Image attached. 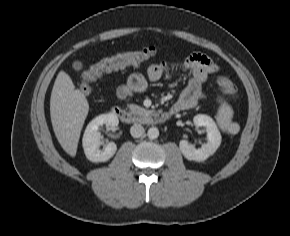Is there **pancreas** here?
<instances>
[{
    "label": "pancreas",
    "instance_id": "pancreas-1",
    "mask_svg": "<svg viewBox=\"0 0 290 236\" xmlns=\"http://www.w3.org/2000/svg\"><path fill=\"white\" fill-rule=\"evenodd\" d=\"M129 109L135 115H143L146 112V110L144 108H142L138 105H135V104L129 105Z\"/></svg>",
    "mask_w": 290,
    "mask_h": 236
}]
</instances>
